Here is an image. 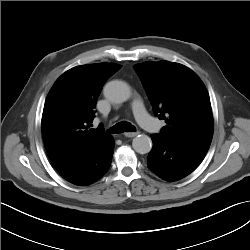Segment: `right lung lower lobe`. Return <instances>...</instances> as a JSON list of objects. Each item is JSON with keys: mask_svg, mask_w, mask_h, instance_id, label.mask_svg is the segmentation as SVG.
Wrapping results in <instances>:
<instances>
[{"mask_svg": "<svg viewBox=\"0 0 250 250\" xmlns=\"http://www.w3.org/2000/svg\"><path fill=\"white\" fill-rule=\"evenodd\" d=\"M113 152L114 139L111 136L95 151L58 172L72 184L87 186L99 180L108 171Z\"/></svg>", "mask_w": 250, "mask_h": 250, "instance_id": "right-lung-lower-lobe-1", "label": "right lung lower lobe"}]
</instances>
